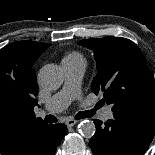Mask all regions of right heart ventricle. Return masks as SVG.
<instances>
[{
	"label": "right heart ventricle",
	"mask_w": 155,
	"mask_h": 155,
	"mask_svg": "<svg viewBox=\"0 0 155 155\" xmlns=\"http://www.w3.org/2000/svg\"><path fill=\"white\" fill-rule=\"evenodd\" d=\"M63 60H82L84 61V57L81 53L77 51L70 52L67 54Z\"/></svg>",
	"instance_id": "e07e8e85"
}]
</instances>
